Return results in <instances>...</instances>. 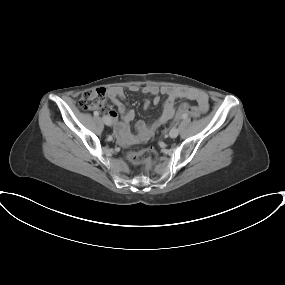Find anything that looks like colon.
Returning a JSON list of instances; mask_svg holds the SVG:
<instances>
[{
    "mask_svg": "<svg viewBox=\"0 0 285 285\" xmlns=\"http://www.w3.org/2000/svg\"><path fill=\"white\" fill-rule=\"evenodd\" d=\"M107 99V92L103 88H96L83 92L79 99V106L83 110L100 109L105 106ZM201 110L198 107L190 106L181 110L180 115L184 117L190 115L192 117H199ZM129 159L144 167V169H150L157 160V152L152 147L143 148L140 150L132 151L128 154Z\"/></svg>",
    "mask_w": 285,
    "mask_h": 285,
    "instance_id": "5ec220e1",
    "label": "colon"
}]
</instances>
